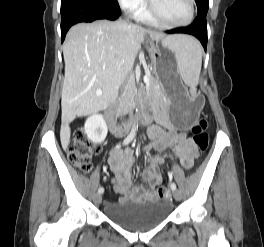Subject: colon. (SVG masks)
Listing matches in <instances>:
<instances>
[{
  "mask_svg": "<svg viewBox=\"0 0 264 247\" xmlns=\"http://www.w3.org/2000/svg\"><path fill=\"white\" fill-rule=\"evenodd\" d=\"M208 123L205 119H199L192 128L193 140L200 151H205L209 143ZM100 147L88 140L83 133H78L71 141L68 148V158L70 162L80 169L87 172L92 167V157L98 153ZM156 195L159 198H165L169 195V190L166 186L156 188Z\"/></svg>",
  "mask_w": 264,
  "mask_h": 247,
  "instance_id": "1",
  "label": "colon"
}]
</instances>
